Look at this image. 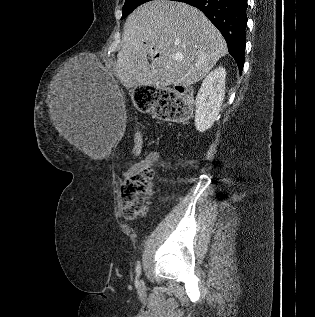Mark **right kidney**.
<instances>
[{"label":"right kidney","mask_w":315,"mask_h":317,"mask_svg":"<svg viewBox=\"0 0 315 317\" xmlns=\"http://www.w3.org/2000/svg\"><path fill=\"white\" fill-rule=\"evenodd\" d=\"M226 71L218 67L204 79L196 96L195 127L203 133L215 122L225 96Z\"/></svg>","instance_id":"ca27d5eb"}]
</instances>
